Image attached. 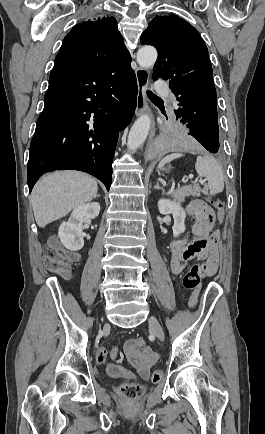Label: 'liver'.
<instances>
[{
	"label": "liver",
	"mask_w": 265,
	"mask_h": 434,
	"mask_svg": "<svg viewBox=\"0 0 265 434\" xmlns=\"http://www.w3.org/2000/svg\"><path fill=\"white\" fill-rule=\"evenodd\" d=\"M97 192L95 178L82 172L67 170L43 176L31 194L37 226L45 228L50 222L67 216L76 206L91 202Z\"/></svg>",
	"instance_id": "1"
}]
</instances>
